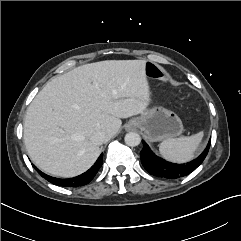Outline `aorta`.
Wrapping results in <instances>:
<instances>
[{
  "instance_id": "1",
  "label": "aorta",
  "mask_w": 241,
  "mask_h": 241,
  "mask_svg": "<svg viewBox=\"0 0 241 241\" xmlns=\"http://www.w3.org/2000/svg\"><path fill=\"white\" fill-rule=\"evenodd\" d=\"M125 143L130 147L138 146L141 143V137L138 133L129 132L125 135Z\"/></svg>"
}]
</instances>
